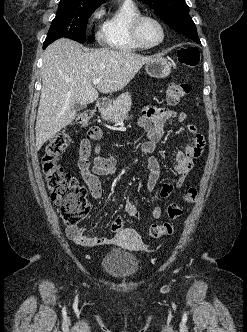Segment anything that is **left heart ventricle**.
Returning a JSON list of instances; mask_svg holds the SVG:
<instances>
[{
    "label": "left heart ventricle",
    "instance_id": "b2bd125f",
    "mask_svg": "<svg viewBox=\"0 0 247 332\" xmlns=\"http://www.w3.org/2000/svg\"><path fill=\"white\" fill-rule=\"evenodd\" d=\"M139 34L142 41L146 44H154L161 39V30L151 19H146L141 23Z\"/></svg>",
    "mask_w": 247,
    "mask_h": 332
}]
</instances>
